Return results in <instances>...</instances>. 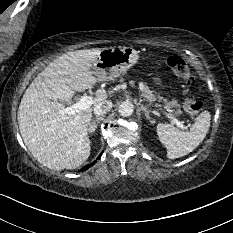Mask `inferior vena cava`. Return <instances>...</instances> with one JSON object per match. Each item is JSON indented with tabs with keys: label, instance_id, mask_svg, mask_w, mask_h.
Masks as SVG:
<instances>
[{
	"label": "inferior vena cava",
	"instance_id": "inferior-vena-cava-1",
	"mask_svg": "<svg viewBox=\"0 0 233 233\" xmlns=\"http://www.w3.org/2000/svg\"><path fill=\"white\" fill-rule=\"evenodd\" d=\"M112 106H113L112 101L104 100L103 102H100L94 106V113L97 116L106 114L111 110Z\"/></svg>",
	"mask_w": 233,
	"mask_h": 233
}]
</instances>
